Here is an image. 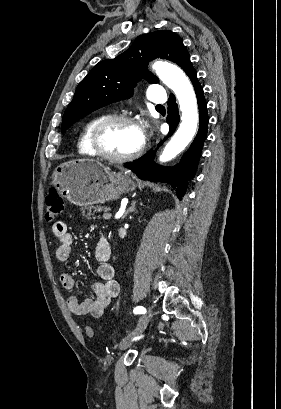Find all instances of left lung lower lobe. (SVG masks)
Masks as SVG:
<instances>
[{"instance_id":"1","label":"left lung lower lobe","mask_w":281,"mask_h":409,"mask_svg":"<svg viewBox=\"0 0 281 409\" xmlns=\"http://www.w3.org/2000/svg\"><path fill=\"white\" fill-rule=\"evenodd\" d=\"M189 78L194 86L199 106V130L190 148L182 156L181 161L174 167H161L153 162L156 150H150L139 160L124 165L141 179L169 183L173 188H176V194L180 199L185 194L188 180H191L195 175L203 144L207 137L208 125L207 104L195 69L189 74ZM168 114L169 136H171L180 120L173 94L170 95L168 100ZM167 138L168 136L164 140ZM162 143L163 141L158 144V147Z\"/></svg>"}]
</instances>
